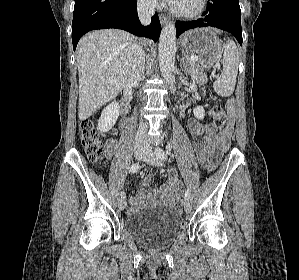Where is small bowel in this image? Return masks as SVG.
<instances>
[{
	"mask_svg": "<svg viewBox=\"0 0 299 280\" xmlns=\"http://www.w3.org/2000/svg\"><path fill=\"white\" fill-rule=\"evenodd\" d=\"M188 129L192 136L198 140L192 144L193 150L200 158L207 156L210 160L208 169L216 167L222 155L228 150L233 133V122L229 121L223 129L218 131L213 123H200L194 119L188 121ZM116 140L109 139L105 144L106 157H111L115 148ZM152 175H147L142 184L149 186ZM183 192V185L176 175V170L169 169V179L161 188H153L147 191L139 189L135 197L130 198L129 213H135L141 207L171 206Z\"/></svg>",
	"mask_w": 299,
	"mask_h": 280,
	"instance_id": "small-bowel-1",
	"label": "small bowel"
}]
</instances>
